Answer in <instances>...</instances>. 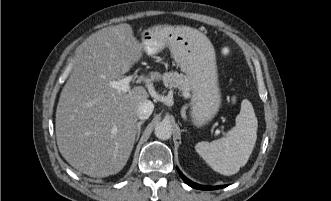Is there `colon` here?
Segmentation results:
<instances>
[{"mask_svg": "<svg viewBox=\"0 0 331 201\" xmlns=\"http://www.w3.org/2000/svg\"><path fill=\"white\" fill-rule=\"evenodd\" d=\"M224 53H225V54H227V53H228V51H225Z\"/></svg>", "mask_w": 331, "mask_h": 201, "instance_id": "obj_1", "label": "colon"}]
</instances>
